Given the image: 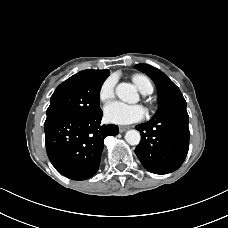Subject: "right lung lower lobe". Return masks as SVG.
<instances>
[{"instance_id": "1", "label": "right lung lower lobe", "mask_w": 228, "mask_h": 228, "mask_svg": "<svg viewBox=\"0 0 228 228\" xmlns=\"http://www.w3.org/2000/svg\"><path fill=\"white\" fill-rule=\"evenodd\" d=\"M94 116L56 115L45 121V143L55 169L73 180L92 177L100 165L104 138L118 134L116 125H101Z\"/></svg>"}]
</instances>
